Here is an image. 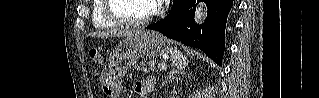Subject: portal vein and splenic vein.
Instances as JSON below:
<instances>
[{"mask_svg": "<svg viewBox=\"0 0 319 98\" xmlns=\"http://www.w3.org/2000/svg\"><path fill=\"white\" fill-rule=\"evenodd\" d=\"M158 68L162 71L166 70L167 69V65L165 63H160L158 64Z\"/></svg>", "mask_w": 319, "mask_h": 98, "instance_id": "1", "label": "portal vein and splenic vein"}]
</instances>
